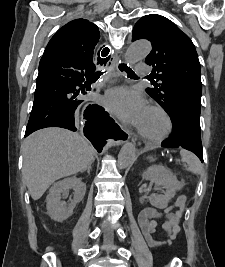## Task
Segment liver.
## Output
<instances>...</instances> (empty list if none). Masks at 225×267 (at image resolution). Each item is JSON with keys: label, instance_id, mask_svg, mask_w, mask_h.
I'll use <instances>...</instances> for the list:
<instances>
[{"label": "liver", "instance_id": "1", "mask_svg": "<svg viewBox=\"0 0 225 267\" xmlns=\"http://www.w3.org/2000/svg\"><path fill=\"white\" fill-rule=\"evenodd\" d=\"M23 180L33 200L42 197L58 179L82 172L92 163L94 150L77 133L45 128L27 137L22 146Z\"/></svg>", "mask_w": 225, "mask_h": 267}]
</instances>
